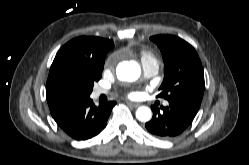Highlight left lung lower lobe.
Segmentation results:
<instances>
[{"mask_svg": "<svg viewBox=\"0 0 249 165\" xmlns=\"http://www.w3.org/2000/svg\"><path fill=\"white\" fill-rule=\"evenodd\" d=\"M153 117L145 124L152 135L169 139L181 134L193 121L199 107L183 101H169L160 109L152 106Z\"/></svg>", "mask_w": 249, "mask_h": 165, "instance_id": "obj_1", "label": "left lung lower lobe"}]
</instances>
